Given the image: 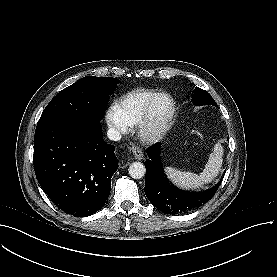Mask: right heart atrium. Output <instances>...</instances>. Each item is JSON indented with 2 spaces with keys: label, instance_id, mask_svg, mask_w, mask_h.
<instances>
[{
  "label": "right heart atrium",
  "instance_id": "1",
  "mask_svg": "<svg viewBox=\"0 0 277 277\" xmlns=\"http://www.w3.org/2000/svg\"><path fill=\"white\" fill-rule=\"evenodd\" d=\"M106 121L110 129L116 134L127 132L128 126L115 106H111L106 113Z\"/></svg>",
  "mask_w": 277,
  "mask_h": 277
}]
</instances>
